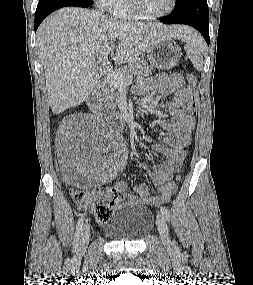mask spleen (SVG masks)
Instances as JSON below:
<instances>
[{
  "instance_id": "obj_1",
  "label": "spleen",
  "mask_w": 253,
  "mask_h": 285,
  "mask_svg": "<svg viewBox=\"0 0 253 285\" xmlns=\"http://www.w3.org/2000/svg\"><path fill=\"white\" fill-rule=\"evenodd\" d=\"M185 51L188 58L192 62L194 68L197 71L203 69V57L201 55V50L204 49V42L200 35L192 31L185 37Z\"/></svg>"
}]
</instances>
